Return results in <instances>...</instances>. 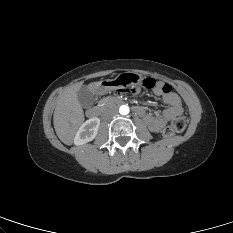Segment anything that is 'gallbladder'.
Listing matches in <instances>:
<instances>
[{"label":"gallbladder","mask_w":233,"mask_h":233,"mask_svg":"<svg viewBox=\"0 0 233 233\" xmlns=\"http://www.w3.org/2000/svg\"><path fill=\"white\" fill-rule=\"evenodd\" d=\"M77 99L80 105L84 108L92 107L94 103V93L89 89L88 86H81L77 92Z\"/></svg>","instance_id":"obj_1"}]
</instances>
